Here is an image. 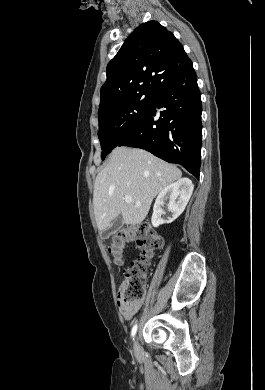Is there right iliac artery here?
Instances as JSON below:
<instances>
[{"instance_id": "1", "label": "right iliac artery", "mask_w": 265, "mask_h": 390, "mask_svg": "<svg viewBox=\"0 0 265 390\" xmlns=\"http://www.w3.org/2000/svg\"><path fill=\"white\" fill-rule=\"evenodd\" d=\"M136 331H137V324H135L131 330V336L134 338L135 334H136Z\"/></svg>"}]
</instances>
